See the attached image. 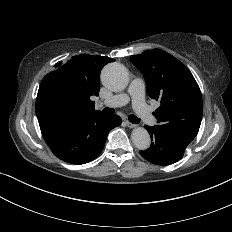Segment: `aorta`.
<instances>
[{
  "mask_svg": "<svg viewBox=\"0 0 232 232\" xmlns=\"http://www.w3.org/2000/svg\"><path fill=\"white\" fill-rule=\"evenodd\" d=\"M101 81L109 90L120 92L124 90L129 83L128 72L123 65L119 63H110L103 68L101 72ZM131 138L134 145L139 150H146L150 146V135L143 127L133 129Z\"/></svg>",
  "mask_w": 232,
  "mask_h": 232,
  "instance_id": "762f6f07",
  "label": "aorta"
}]
</instances>
